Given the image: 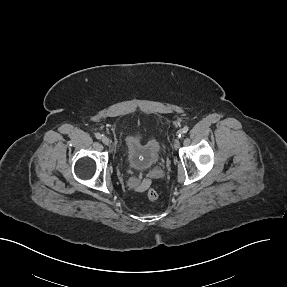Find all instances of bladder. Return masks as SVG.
Returning <instances> with one entry per match:
<instances>
[{
  "label": "bladder",
  "instance_id": "1",
  "mask_svg": "<svg viewBox=\"0 0 287 287\" xmlns=\"http://www.w3.org/2000/svg\"><path fill=\"white\" fill-rule=\"evenodd\" d=\"M161 145L156 138L143 139L138 133L126 136L124 140V160L128 167L144 171L158 162Z\"/></svg>",
  "mask_w": 287,
  "mask_h": 287
}]
</instances>
